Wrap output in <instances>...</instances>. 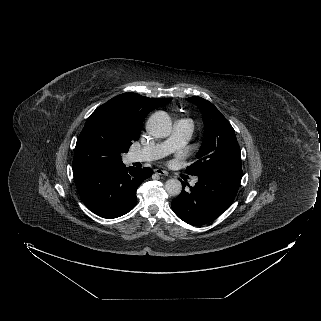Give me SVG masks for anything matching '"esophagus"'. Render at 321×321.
I'll return each instance as SVG.
<instances>
[{
  "instance_id": "esophagus-1",
  "label": "esophagus",
  "mask_w": 321,
  "mask_h": 321,
  "mask_svg": "<svg viewBox=\"0 0 321 321\" xmlns=\"http://www.w3.org/2000/svg\"><path fill=\"white\" fill-rule=\"evenodd\" d=\"M154 173H156L158 175H163V176H167L168 175V173L166 171H164L162 169H159V168L154 169Z\"/></svg>"
}]
</instances>
